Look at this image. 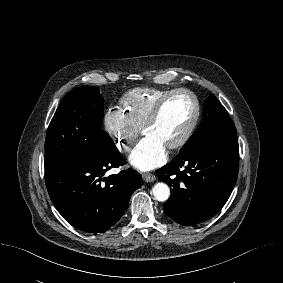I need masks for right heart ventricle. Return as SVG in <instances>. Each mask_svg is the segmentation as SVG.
Segmentation results:
<instances>
[{
  "label": "right heart ventricle",
  "mask_w": 283,
  "mask_h": 283,
  "mask_svg": "<svg viewBox=\"0 0 283 283\" xmlns=\"http://www.w3.org/2000/svg\"><path fill=\"white\" fill-rule=\"evenodd\" d=\"M172 90L158 87L131 89L120 99L121 110L138 129H141L155 103Z\"/></svg>",
  "instance_id": "1"
}]
</instances>
